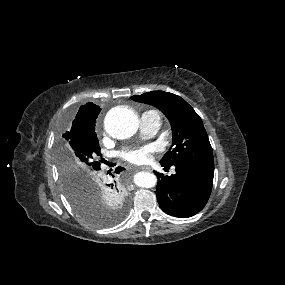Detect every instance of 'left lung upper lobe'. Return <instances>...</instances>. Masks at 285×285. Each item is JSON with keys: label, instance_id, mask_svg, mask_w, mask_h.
Instances as JSON below:
<instances>
[{"label": "left lung upper lobe", "instance_id": "1", "mask_svg": "<svg viewBox=\"0 0 285 285\" xmlns=\"http://www.w3.org/2000/svg\"><path fill=\"white\" fill-rule=\"evenodd\" d=\"M131 98L157 107L171 124L172 145L160 161L163 166L214 164L203 122L185 100L164 91L147 92Z\"/></svg>", "mask_w": 285, "mask_h": 285}]
</instances>
